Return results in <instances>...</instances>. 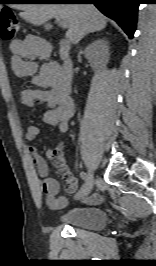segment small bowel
<instances>
[{
	"instance_id": "c3829d8e",
	"label": "small bowel",
	"mask_w": 156,
	"mask_h": 266,
	"mask_svg": "<svg viewBox=\"0 0 156 266\" xmlns=\"http://www.w3.org/2000/svg\"><path fill=\"white\" fill-rule=\"evenodd\" d=\"M44 43L35 36H27L25 39H16L10 43V65L16 77H33L36 89L22 91L19 102L25 108L37 104H45L48 109L43 114L46 124L55 126L62 133L68 129L70 119L74 114V104L70 96V89L65 87L59 78V67L52 62L42 65L38 71L37 59H46L47 54L42 52ZM39 134V128L31 125L27 128L26 139L34 140ZM29 152L34 166L41 179V189L46 196L47 204L54 210L63 209L67 205V199L59 196L60 185L58 181L49 175L48 165L43 156L34 146L29 147ZM47 158L53 161L57 169L65 179V189L68 193H74L77 189V180L65 164L63 152L60 148H47ZM103 200L101 194H93L84 198V202L90 205L99 204Z\"/></svg>"
}]
</instances>
